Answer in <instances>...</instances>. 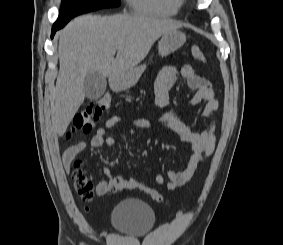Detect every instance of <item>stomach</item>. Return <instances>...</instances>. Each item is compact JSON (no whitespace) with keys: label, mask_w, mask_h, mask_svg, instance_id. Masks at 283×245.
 Here are the masks:
<instances>
[{"label":"stomach","mask_w":283,"mask_h":245,"mask_svg":"<svg viewBox=\"0 0 283 245\" xmlns=\"http://www.w3.org/2000/svg\"><path fill=\"white\" fill-rule=\"evenodd\" d=\"M186 41V36L180 31H171L162 36L158 44L159 54L165 57L179 49ZM146 65L136 66L121 75L113 78V84L118 89H127L134 86L145 71Z\"/></svg>","instance_id":"obj_1"}]
</instances>
